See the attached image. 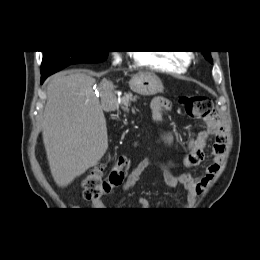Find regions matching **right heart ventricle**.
Wrapping results in <instances>:
<instances>
[{"label":"right heart ventricle","mask_w":260,"mask_h":260,"mask_svg":"<svg viewBox=\"0 0 260 260\" xmlns=\"http://www.w3.org/2000/svg\"><path fill=\"white\" fill-rule=\"evenodd\" d=\"M134 59L141 66L171 73L185 72L190 62L189 57L185 54L174 52L152 53L140 51L134 53Z\"/></svg>","instance_id":"obj_1"}]
</instances>
